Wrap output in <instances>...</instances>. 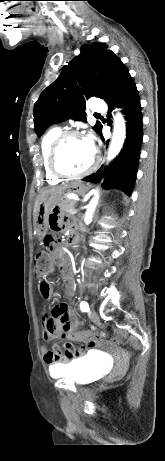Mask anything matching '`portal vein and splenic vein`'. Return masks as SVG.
Instances as JSON below:
<instances>
[{"label":"portal vein and splenic vein","instance_id":"1","mask_svg":"<svg viewBox=\"0 0 165 461\" xmlns=\"http://www.w3.org/2000/svg\"><path fill=\"white\" fill-rule=\"evenodd\" d=\"M68 212H69L70 214H74V213H76L77 211H76L75 209H70Z\"/></svg>","mask_w":165,"mask_h":461}]
</instances>
